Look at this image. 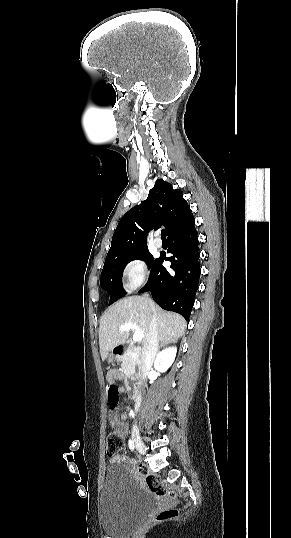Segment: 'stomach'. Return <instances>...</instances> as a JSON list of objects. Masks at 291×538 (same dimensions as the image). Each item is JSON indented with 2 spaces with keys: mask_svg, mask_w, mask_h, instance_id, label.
Masks as SVG:
<instances>
[{
  "mask_svg": "<svg viewBox=\"0 0 291 538\" xmlns=\"http://www.w3.org/2000/svg\"><path fill=\"white\" fill-rule=\"evenodd\" d=\"M117 357H114V354L111 352L108 356H107V360L108 361H113L114 359H116Z\"/></svg>",
  "mask_w": 291,
  "mask_h": 538,
  "instance_id": "0dacf381",
  "label": "stomach"
}]
</instances>
